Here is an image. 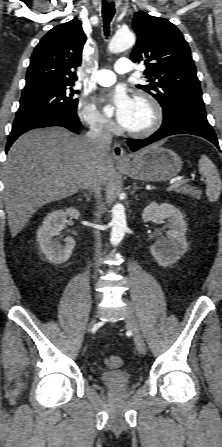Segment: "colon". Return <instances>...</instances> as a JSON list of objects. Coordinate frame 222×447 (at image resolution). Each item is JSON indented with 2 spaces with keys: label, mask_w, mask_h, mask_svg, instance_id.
I'll use <instances>...</instances> for the list:
<instances>
[{
  "label": "colon",
  "mask_w": 222,
  "mask_h": 447,
  "mask_svg": "<svg viewBox=\"0 0 222 447\" xmlns=\"http://www.w3.org/2000/svg\"><path fill=\"white\" fill-rule=\"evenodd\" d=\"M106 365L110 368H118L121 366L122 364V360L119 356L113 355L111 357H109L106 361H105Z\"/></svg>",
  "instance_id": "5ec220e1"
}]
</instances>
